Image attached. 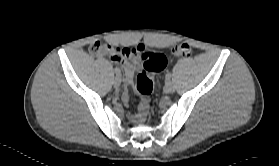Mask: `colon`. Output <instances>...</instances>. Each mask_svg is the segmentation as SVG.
I'll use <instances>...</instances> for the list:
<instances>
[{
  "instance_id": "obj_1",
  "label": "colon",
  "mask_w": 279,
  "mask_h": 166,
  "mask_svg": "<svg viewBox=\"0 0 279 166\" xmlns=\"http://www.w3.org/2000/svg\"><path fill=\"white\" fill-rule=\"evenodd\" d=\"M105 49V44L95 42L90 46L89 51L93 55H99ZM114 51L118 55L124 57H128L132 52L131 49L128 48H114ZM171 51L175 56L185 58L191 55L192 48L188 43L182 42L173 46ZM141 63L143 69L138 75L135 85L136 91L141 96V101L138 109L139 118L144 117L148 111V101L154 89L153 74L164 69L166 59L165 56L160 53L144 51L141 54Z\"/></svg>"
}]
</instances>
